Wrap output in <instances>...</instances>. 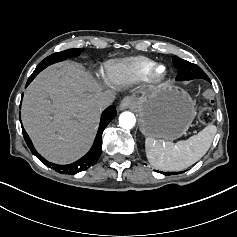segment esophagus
Instances as JSON below:
<instances>
[{"label":"esophagus","mask_w":237,"mask_h":237,"mask_svg":"<svg viewBox=\"0 0 237 237\" xmlns=\"http://www.w3.org/2000/svg\"><path fill=\"white\" fill-rule=\"evenodd\" d=\"M137 105H138V101L135 97H126L121 101L119 105V109L120 110L135 109Z\"/></svg>","instance_id":"34e87169"}]
</instances>
